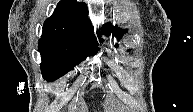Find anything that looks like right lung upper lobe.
<instances>
[{
    "mask_svg": "<svg viewBox=\"0 0 193 112\" xmlns=\"http://www.w3.org/2000/svg\"><path fill=\"white\" fill-rule=\"evenodd\" d=\"M41 39H61L98 49L85 3L61 0L51 17L45 20Z\"/></svg>",
    "mask_w": 193,
    "mask_h": 112,
    "instance_id": "1",
    "label": "right lung upper lobe"
}]
</instances>
